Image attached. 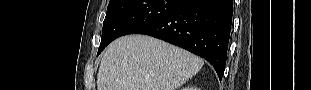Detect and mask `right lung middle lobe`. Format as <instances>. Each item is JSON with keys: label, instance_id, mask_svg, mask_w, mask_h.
<instances>
[{"label": "right lung middle lobe", "instance_id": "obj_1", "mask_svg": "<svg viewBox=\"0 0 311 90\" xmlns=\"http://www.w3.org/2000/svg\"><path fill=\"white\" fill-rule=\"evenodd\" d=\"M182 0H111L103 22L99 55L116 38L137 33L175 9Z\"/></svg>", "mask_w": 311, "mask_h": 90}]
</instances>
